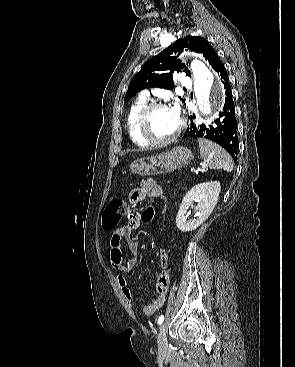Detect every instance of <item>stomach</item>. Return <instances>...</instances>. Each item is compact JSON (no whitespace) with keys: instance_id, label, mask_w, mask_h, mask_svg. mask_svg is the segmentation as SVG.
<instances>
[{"instance_id":"stomach-1","label":"stomach","mask_w":295,"mask_h":367,"mask_svg":"<svg viewBox=\"0 0 295 367\" xmlns=\"http://www.w3.org/2000/svg\"><path fill=\"white\" fill-rule=\"evenodd\" d=\"M193 159L192 152L183 146H177L169 152L136 160L130 165L133 173L147 176L173 172L185 167Z\"/></svg>"}]
</instances>
